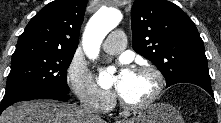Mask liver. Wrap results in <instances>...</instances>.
Listing matches in <instances>:
<instances>
[{"instance_id":"obj_1","label":"liver","mask_w":221,"mask_h":123,"mask_svg":"<svg viewBox=\"0 0 221 123\" xmlns=\"http://www.w3.org/2000/svg\"><path fill=\"white\" fill-rule=\"evenodd\" d=\"M0 123H106L85 116L78 106L53 100L21 102L7 108Z\"/></svg>"}]
</instances>
